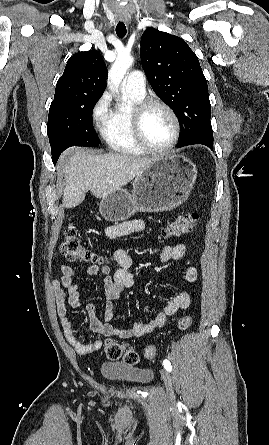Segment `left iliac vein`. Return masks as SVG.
Here are the masks:
<instances>
[{"label":"left iliac vein","instance_id":"1","mask_svg":"<svg viewBox=\"0 0 269 445\" xmlns=\"http://www.w3.org/2000/svg\"><path fill=\"white\" fill-rule=\"evenodd\" d=\"M162 380L165 385L166 394L169 398L173 397V388H172V380L169 372L167 370H163L161 374Z\"/></svg>","mask_w":269,"mask_h":445}]
</instances>
